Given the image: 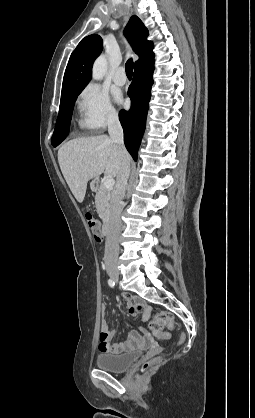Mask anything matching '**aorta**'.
<instances>
[{
	"instance_id": "762f6f07",
	"label": "aorta",
	"mask_w": 255,
	"mask_h": 418,
	"mask_svg": "<svg viewBox=\"0 0 255 418\" xmlns=\"http://www.w3.org/2000/svg\"><path fill=\"white\" fill-rule=\"evenodd\" d=\"M107 71V60L105 56H99L93 64L92 78L95 80H101L105 76Z\"/></svg>"
}]
</instances>
